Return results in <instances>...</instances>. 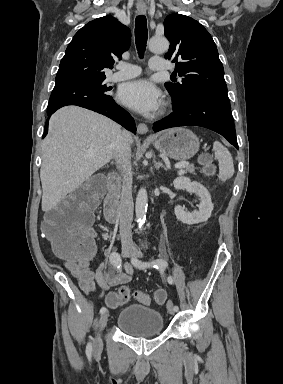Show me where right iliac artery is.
Wrapping results in <instances>:
<instances>
[{"label": "right iliac artery", "instance_id": "right-iliac-artery-1", "mask_svg": "<svg viewBox=\"0 0 283 384\" xmlns=\"http://www.w3.org/2000/svg\"><path fill=\"white\" fill-rule=\"evenodd\" d=\"M109 260L111 264L120 272L122 267V260L120 258V255L117 252H112L110 254ZM106 311H107L106 307H102L100 309V314H103ZM91 353H92V344L91 342H89L86 347V354L87 356H91Z\"/></svg>", "mask_w": 283, "mask_h": 384}]
</instances>
